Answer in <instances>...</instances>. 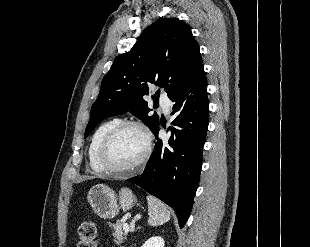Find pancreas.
I'll list each match as a JSON object with an SVG mask.
<instances>
[{
    "label": "pancreas",
    "mask_w": 310,
    "mask_h": 247,
    "mask_svg": "<svg viewBox=\"0 0 310 247\" xmlns=\"http://www.w3.org/2000/svg\"><path fill=\"white\" fill-rule=\"evenodd\" d=\"M123 223L122 222H116L115 225H113V232H112V236H113V241L117 244V245H122L124 240L126 239V232H124L123 229Z\"/></svg>",
    "instance_id": "1"
}]
</instances>
